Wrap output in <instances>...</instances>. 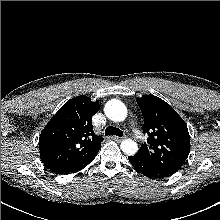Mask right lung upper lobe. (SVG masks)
Returning a JSON list of instances; mask_svg holds the SVG:
<instances>
[{
    "mask_svg": "<svg viewBox=\"0 0 220 220\" xmlns=\"http://www.w3.org/2000/svg\"><path fill=\"white\" fill-rule=\"evenodd\" d=\"M99 109L98 101L77 96L51 118L39 138L40 159L48 169L56 172L100 150L103 137L92 126V116Z\"/></svg>",
    "mask_w": 220,
    "mask_h": 220,
    "instance_id": "cb5924a9",
    "label": "right lung upper lobe"
}]
</instances>
